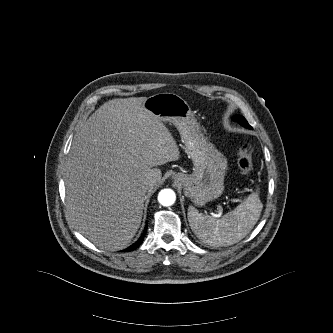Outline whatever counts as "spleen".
<instances>
[{
  "label": "spleen",
  "instance_id": "3e777b00",
  "mask_svg": "<svg viewBox=\"0 0 333 333\" xmlns=\"http://www.w3.org/2000/svg\"><path fill=\"white\" fill-rule=\"evenodd\" d=\"M263 205L258 191L250 194L233 211L221 218L204 215L193 206L188 208V221L193 233L214 247L233 245L242 240L260 218Z\"/></svg>",
  "mask_w": 333,
  "mask_h": 333
}]
</instances>
